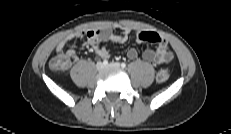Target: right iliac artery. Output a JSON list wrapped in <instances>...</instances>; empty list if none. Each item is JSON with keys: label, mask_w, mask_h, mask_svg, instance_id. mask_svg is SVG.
I'll list each match as a JSON object with an SVG mask.
<instances>
[{"label": "right iliac artery", "mask_w": 231, "mask_h": 134, "mask_svg": "<svg viewBox=\"0 0 231 134\" xmlns=\"http://www.w3.org/2000/svg\"><path fill=\"white\" fill-rule=\"evenodd\" d=\"M102 64H103L104 66H106V65H108V61H107V60H103Z\"/></svg>", "instance_id": "right-iliac-artery-1"}]
</instances>
